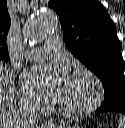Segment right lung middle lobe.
Masks as SVG:
<instances>
[{"label": "right lung middle lobe", "instance_id": "1", "mask_svg": "<svg viewBox=\"0 0 125 128\" xmlns=\"http://www.w3.org/2000/svg\"><path fill=\"white\" fill-rule=\"evenodd\" d=\"M0 60H2V61H4V62H7V61H8L7 59H0Z\"/></svg>", "mask_w": 125, "mask_h": 128}]
</instances>
